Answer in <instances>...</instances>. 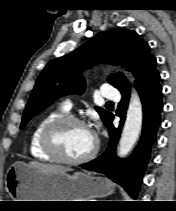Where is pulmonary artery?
Listing matches in <instances>:
<instances>
[{
  "mask_svg": "<svg viewBox=\"0 0 176 211\" xmlns=\"http://www.w3.org/2000/svg\"><path fill=\"white\" fill-rule=\"evenodd\" d=\"M100 94L103 98L108 99V100H118L120 97L119 91L116 89H113L109 85L103 86ZM62 108L66 111L70 110L72 108L71 101L66 100L63 103Z\"/></svg>",
  "mask_w": 176,
  "mask_h": 211,
  "instance_id": "1",
  "label": "pulmonary artery"
}]
</instances>
